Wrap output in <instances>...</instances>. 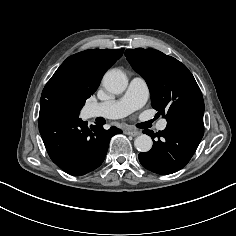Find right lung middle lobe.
Wrapping results in <instances>:
<instances>
[{
  "mask_svg": "<svg viewBox=\"0 0 236 236\" xmlns=\"http://www.w3.org/2000/svg\"><path fill=\"white\" fill-rule=\"evenodd\" d=\"M44 91V98L42 101L40 99L41 105L56 104L76 115H79L86 99L92 95L86 89L66 80L57 81Z\"/></svg>",
  "mask_w": 236,
  "mask_h": 236,
  "instance_id": "1",
  "label": "right lung middle lobe"
}]
</instances>
